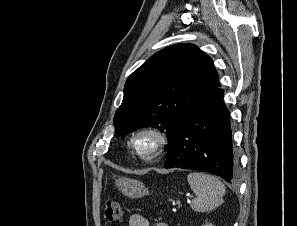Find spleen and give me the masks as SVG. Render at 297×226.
<instances>
[{
	"label": "spleen",
	"mask_w": 297,
	"mask_h": 226,
	"mask_svg": "<svg viewBox=\"0 0 297 226\" xmlns=\"http://www.w3.org/2000/svg\"><path fill=\"white\" fill-rule=\"evenodd\" d=\"M188 183L196 194L191 208L197 212H207L223 203L224 184L215 176L192 172L187 176Z\"/></svg>",
	"instance_id": "spleen-1"
}]
</instances>
